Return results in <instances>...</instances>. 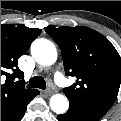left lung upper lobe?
<instances>
[{"label":"left lung upper lobe","mask_w":121,"mask_h":121,"mask_svg":"<svg viewBox=\"0 0 121 121\" xmlns=\"http://www.w3.org/2000/svg\"><path fill=\"white\" fill-rule=\"evenodd\" d=\"M62 51L66 75L77 81L63 92L76 112L102 118L118 95L121 59L109 40L87 27H47Z\"/></svg>","instance_id":"left-lung-upper-lobe-1"}]
</instances>
